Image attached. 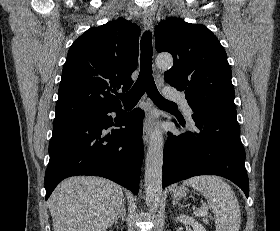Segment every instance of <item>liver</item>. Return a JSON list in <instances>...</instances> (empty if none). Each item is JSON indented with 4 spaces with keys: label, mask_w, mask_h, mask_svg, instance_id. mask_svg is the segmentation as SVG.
<instances>
[{
    "label": "liver",
    "mask_w": 280,
    "mask_h": 231,
    "mask_svg": "<svg viewBox=\"0 0 280 231\" xmlns=\"http://www.w3.org/2000/svg\"><path fill=\"white\" fill-rule=\"evenodd\" d=\"M121 185L94 175L67 177L48 199L54 231H105L121 209Z\"/></svg>",
    "instance_id": "obj_1"
}]
</instances>
